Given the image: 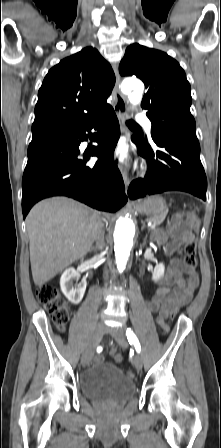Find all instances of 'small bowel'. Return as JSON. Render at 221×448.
<instances>
[{
    "label": "small bowel",
    "mask_w": 221,
    "mask_h": 448,
    "mask_svg": "<svg viewBox=\"0 0 221 448\" xmlns=\"http://www.w3.org/2000/svg\"><path fill=\"white\" fill-rule=\"evenodd\" d=\"M155 240L165 245V251L171 258V263L164 285L157 288L153 297L147 302V308L158 313L157 323L167 331L168 327L164 328L166 325L164 320L190 302L199 284L197 270L186 268L184 263L175 257L183 244L194 240V235L183 231L176 223H170L156 236Z\"/></svg>",
    "instance_id": "small-bowel-1"
}]
</instances>
